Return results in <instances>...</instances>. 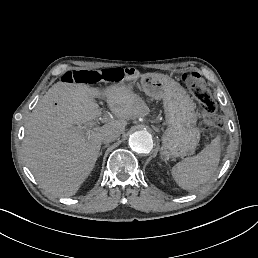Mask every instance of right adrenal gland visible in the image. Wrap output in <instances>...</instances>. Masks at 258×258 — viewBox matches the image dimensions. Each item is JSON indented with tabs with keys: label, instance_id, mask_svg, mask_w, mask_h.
<instances>
[{
	"label": "right adrenal gland",
	"instance_id": "right-adrenal-gland-1",
	"mask_svg": "<svg viewBox=\"0 0 258 258\" xmlns=\"http://www.w3.org/2000/svg\"><path fill=\"white\" fill-rule=\"evenodd\" d=\"M106 147H107V145L103 146V147L101 148V150L98 152V154H97L98 159L100 158L101 153L103 152V149L106 148Z\"/></svg>",
	"mask_w": 258,
	"mask_h": 258
}]
</instances>
